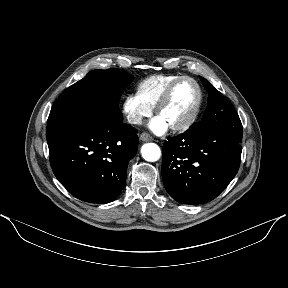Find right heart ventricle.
<instances>
[{"label": "right heart ventricle", "mask_w": 288, "mask_h": 288, "mask_svg": "<svg viewBox=\"0 0 288 288\" xmlns=\"http://www.w3.org/2000/svg\"><path fill=\"white\" fill-rule=\"evenodd\" d=\"M179 75L157 74L141 80L136 87L137 97L147 106L154 108L167 86Z\"/></svg>", "instance_id": "e07e8e85"}]
</instances>
